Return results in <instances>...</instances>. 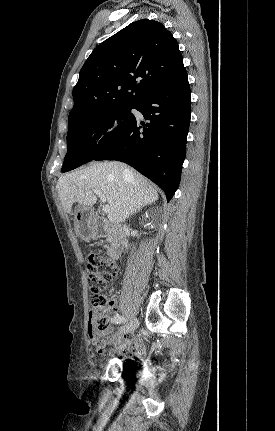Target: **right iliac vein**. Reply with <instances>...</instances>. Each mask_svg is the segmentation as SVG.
Wrapping results in <instances>:
<instances>
[{"instance_id": "1", "label": "right iliac vein", "mask_w": 275, "mask_h": 431, "mask_svg": "<svg viewBox=\"0 0 275 431\" xmlns=\"http://www.w3.org/2000/svg\"><path fill=\"white\" fill-rule=\"evenodd\" d=\"M138 325H139L138 320L137 319H132L130 321V323L125 324L124 326H121L119 328V330L117 332V336H120V335H123V334H126V333H130V332L136 330L137 327H138Z\"/></svg>"}]
</instances>
